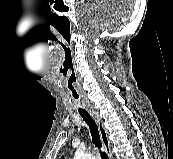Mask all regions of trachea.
Wrapping results in <instances>:
<instances>
[{
	"label": "trachea",
	"mask_w": 173,
	"mask_h": 159,
	"mask_svg": "<svg viewBox=\"0 0 173 159\" xmlns=\"http://www.w3.org/2000/svg\"><path fill=\"white\" fill-rule=\"evenodd\" d=\"M73 94L75 95L74 91H73ZM78 111H79V114L81 115V117L83 118V120L89 126L90 133L92 136V141H93L94 145L100 150L101 158L108 159L107 154L104 151H101L102 144H101L99 131H98V127H97L96 123L94 122V120L91 118V116L89 115V113L86 110L79 109Z\"/></svg>",
	"instance_id": "trachea-1"
}]
</instances>
